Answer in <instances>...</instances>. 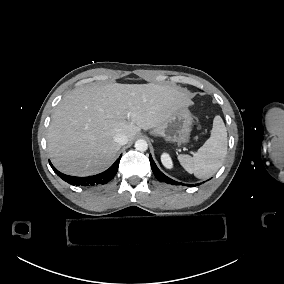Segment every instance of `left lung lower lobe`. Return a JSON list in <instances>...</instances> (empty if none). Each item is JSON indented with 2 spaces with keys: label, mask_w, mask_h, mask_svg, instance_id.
I'll return each instance as SVG.
<instances>
[{
  "label": "left lung lower lobe",
  "mask_w": 284,
  "mask_h": 284,
  "mask_svg": "<svg viewBox=\"0 0 284 284\" xmlns=\"http://www.w3.org/2000/svg\"><path fill=\"white\" fill-rule=\"evenodd\" d=\"M149 160H150V164H151V168H152V171L155 175V177L161 181V182H166V183H170V184H175V185H178V184H182V183H179L177 181H174L172 180L171 178L167 177L166 175H164L159 169L158 167L156 166L155 162L153 161L152 159V156L150 155L149 157ZM183 185V184H182ZM187 186H190V185H187ZM193 186V185H192Z\"/></svg>",
  "instance_id": "left-lung-lower-lobe-1"
}]
</instances>
